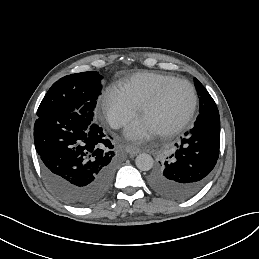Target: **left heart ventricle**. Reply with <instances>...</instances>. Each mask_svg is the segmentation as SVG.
Here are the masks:
<instances>
[{"label": "left heart ventricle", "mask_w": 259, "mask_h": 259, "mask_svg": "<svg viewBox=\"0 0 259 259\" xmlns=\"http://www.w3.org/2000/svg\"><path fill=\"white\" fill-rule=\"evenodd\" d=\"M191 100L189 87L183 82H175L156 106L140 115V122L147 124L155 133L163 132L186 113Z\"/></svg>", "instance_id": "b2bd125f"}]
</instances>
